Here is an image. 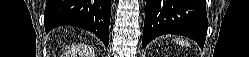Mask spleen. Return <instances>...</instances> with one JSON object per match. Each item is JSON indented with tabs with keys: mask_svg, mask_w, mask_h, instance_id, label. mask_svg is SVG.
Segmentation results:
<instances>
[{
	"mask_svg": "<svg viewBox=\"0 0 249 57\" xmlns=\"http://www.w3.org/2000/svg\"><path fill=\"white\" fill-rule=\"evenodd\" d=\"M175 41H177V42H179V43H185V41H183V40H180L179 38L178 39H175ZM187 43V42H186Z\"/></svg>",
	"mask_w": 249,
	"mask_h": 57,
	"instance_id": "obj_1",
	"label": "spleen"
}]
</instances>
